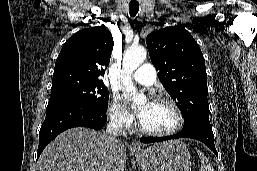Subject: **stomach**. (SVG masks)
I'll use <instances>...</instances> for the list:
<instances>
[{
	"label": "stomach",
	"instance_id": "1",
	"mask_svg": "<svg viewBox=\"0 0 257 171\" xmlns=\"http://www.w3.org/2000/svg\"><path fill=\"white\" fill-rule=\"evenodd\" d=\"M133 153L142 171H192L189 151L180 140L156 143Z\"/></svg>",
	"mask_w": 257,
	"mask_h": 171
}]
</instances>
